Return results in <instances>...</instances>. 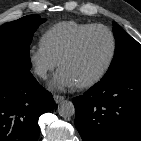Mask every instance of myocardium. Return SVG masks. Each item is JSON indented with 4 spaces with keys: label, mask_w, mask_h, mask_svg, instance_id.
Masks as SVG:
<instances>
[{
    "label": "myocardium",
    "mask_w": 141,
    "mask_h": 141,
    "mask_svg": "<svg viewBox=\"0 0 141 141\" xmlns=\"http://www.w3.org/2000/svg\"><path fill=\"white\" fill-rule=\"evenodd\" d=\"M94 30H103L105 32H107V34L110 37V41H111V49H110V53L108 56V59L106 61V63L104 64V66L102 67V69L91 79L79 83V84H75L76 88L78 89H88L91 88L93 86H95L96 84H98L108 73V71L110 70L112 63L115 59V55H116V50H117V41H116V37L113 33V31L102 24H94L88 28H86L85 30H83L82 32H80L75 38L74 40L71 42V44L66 48V50L61 54V56L58 59V66L61 67L62 63L68 58L70 57L72 54H74L76 52V50L78 49V47L80 46L81 42L83 41V39L92 31Z\"/></svg>",
    "instance_id": "1"
}]
</instances>
